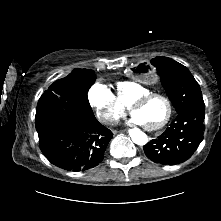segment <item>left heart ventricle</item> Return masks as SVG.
I'll list each match as a JSON object with an SVG mask.
<instances>
[{"mask_svg":"<svg viewBox=\"0 0 221 221\" xmlns=\"http://www.w3.org/2000/svg\"><path fill=\"white\" fill-rule=\"evenodd\" d=\"M134 115L138 116L147 126L160 123L167 114V104L161 98H152L145 105L137 107Z\"/></svg>","mask_w":221,"mask_h":221,"instance_id":"1","label":"left heart ventricle"}]
</instances>
